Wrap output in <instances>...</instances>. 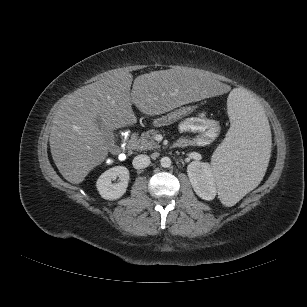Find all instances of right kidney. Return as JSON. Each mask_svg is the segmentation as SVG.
<instances>
[{"label": "right kidney", "mask_w": 307, "mask_h": 307, "mask_svg": "<svg viewBox=\"0 0 307 307\" xmlns=\"http://www.w3.org/2000/svg\"><path fill=\"white\" fill-rule=\"evenodd\" d=\"M118 177V183H112ZM129 170L124 166H115L100 175L96 188L102 198L116 200L124 195L129 183Z\"/></svg>", "instance_id": "right-kidney-1"}]
</instances>
